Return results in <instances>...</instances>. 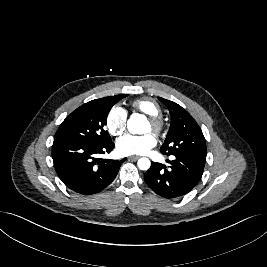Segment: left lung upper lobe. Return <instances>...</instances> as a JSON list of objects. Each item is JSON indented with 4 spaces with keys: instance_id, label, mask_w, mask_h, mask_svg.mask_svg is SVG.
I'll return each instance as SVG.
<instances>
[{
    "instance_id": "left-lung-upper-lobe-1",
    "label": "left lung upper lobe",
    "mask_w": 267,
    "mask_h": 267,
    "mask_svg": "<svg viewBox=\"0 0 267 267\" xmlns=\"http://www.w3.org/2000/svg\"><path fill=\"white\" fill-rule=\"evenodd\" d=\"M158 99L171 115L170 128L160 151L168 156H190L206 161V142L196 121L177 103L160 97Z\"/></svg>"
}]
</instances>
